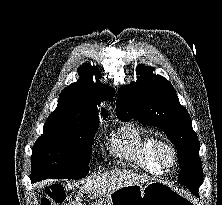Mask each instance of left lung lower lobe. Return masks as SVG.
I'll return each instance as SVG.
<instances>
[{"label":"left lung lower lobe","instance_id":"1","mask_svg":"<svg viewBox=\"0 0 222 205\" xmlns=\"http://www.w3.org/2000/svg\"><path fill=\"white\" fill-rule=\"evenodd\" d=\"M183 164H184V163H181V164H180V167H181V168L187 167V166H189L190 168L193 167V166H192L193 164L190 163V162H188V161H187L184 165H183ZM184 169H187V168H184ZM186 187H188V188L190 189V191H191L194 195L198 196V189H197L194 185L187 183Z\"/></svg>","mask_w":222,"mask_h":205}]
</instances>
